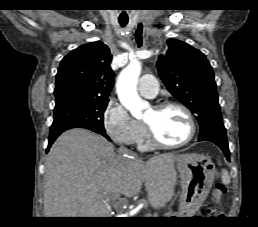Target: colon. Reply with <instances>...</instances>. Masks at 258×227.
Returning <instances> with one entry per match:
<instances>
[{"instance_id":"colon-1","label":"colon","mask_w":258,"mask_h":227,"mask_svg":"<svg viewBox=\"0 0 258 227\" xmlns=\"http://www.w3.org/2000/svg\"><path fill=\"white\" fill-rule=\"evenodd\" d=\"M226 191L227 189L224 184L217 183L213 188V196L215 199L220 200L222 197L225 196Z\"/></svg>"}]
</instances>
